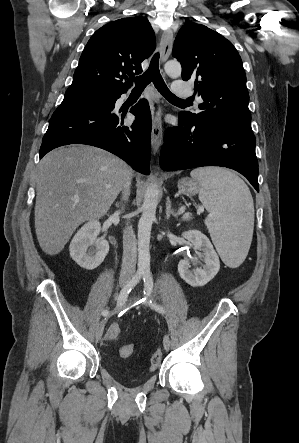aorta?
<instances>
[{"mask_svg": "<svg viewBox=\"0 0 299 443\" xmlns=\"http://www.w3.org/2000/svg\"><path fill=\"white\" fill-rule=\"evenodd\" d=\"M165 72L171 78L181 75V65L177 61H168L165 64ZM159 190L155 183L148 185L142 204V215L138 223V272L150 273V237L153 221L156 218Z\"/></svg>", "mask_w": 299, "mask_h": 443, "instance_id": "obj_1", "label": "aorta"}]
</instances>
